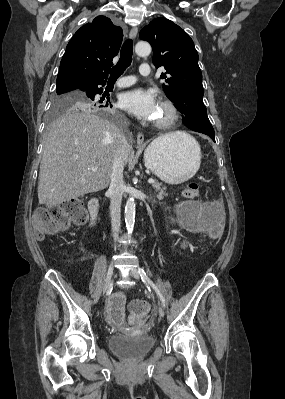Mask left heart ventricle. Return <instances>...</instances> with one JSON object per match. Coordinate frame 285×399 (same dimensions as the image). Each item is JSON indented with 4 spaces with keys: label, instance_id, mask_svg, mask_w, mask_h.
<instances>
[{
    "label": "left heart ventricle",
    "instance_id": "left-heart-ventricle-1",
    "mask_svg": "<svg viewBox=\"0 0 285 399\" xmlns=\"http://www.w3.org/2000/svg\"><path fill=\"white\" fill-rule=\"evenodd\" d=\"M168 117H169L168 110L166 108H164L163 106L159 105L158 113H157V116L155 118V121L166 120Z\"/></svg>",
    "mask_w": 285,
    "mask_h": 399
}]
</instances>
